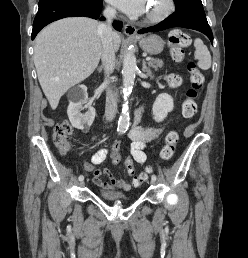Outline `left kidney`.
I'll return each mask as SVG.
<instances>
[{
    "label": "left kidney",
    "mask_w": 248,
    "mask_h": 258,
    "mask_svg": "<svg viewBox=\"0 0 248 258\" xmlns=\"http://www.w3.org/2000/svg\"><path fill=\"white\" fill-rule=\"evenodd\" d=\"M174 108L173 98L167 94H160L152 107L153 118L156 122H162L166 117L168 112H171Z\"/></svg>",
    "instance_id": "left-kidney-1"
}]
</instances>
